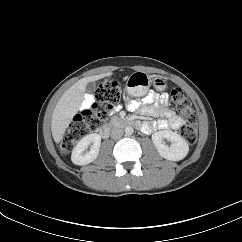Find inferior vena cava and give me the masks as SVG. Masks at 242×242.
<instances>
[{"label": "inferior vena cava", "instance_id": "1", "mask_svg": "<svg viewBox=\"0 0 242 242\" xmlns=\"http://www.w3.org/2000/svg\"><path fill=\"white\" fill-rule=\"evenodd\" d=\"M123 135V129L121 128H113L111 131V138L119 139Z\"/></svg>", "mask_w": 242, "mask_h": 242}]
</instances>
